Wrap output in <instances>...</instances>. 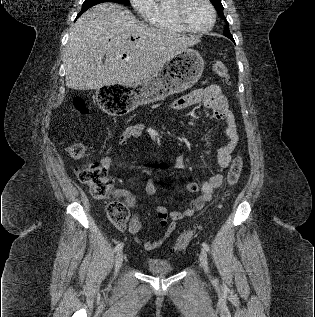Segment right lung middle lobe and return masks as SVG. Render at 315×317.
Here are the masks:
<instances>
[{
  "label": "right lung middle lobe",
  "mask_w": 315,
  "mask_h": 317,
  "mask_svg": "<svg viewBox=\"0 0 315 317\" xmlns=\"http://www.w3.org/2000/svg\"><path fill=\"white\" fill-rule=\"evenodd\" d=\"M103 2H114V3H119V4H124V5H129V0H85L83 5H82V10L80 14L84 13L87 9L90 7L103 3ZM79 14V16H80Z\"/></svg>",
  "instance_id": "1"
}]
</instances>
